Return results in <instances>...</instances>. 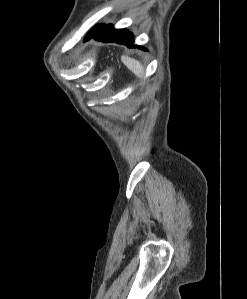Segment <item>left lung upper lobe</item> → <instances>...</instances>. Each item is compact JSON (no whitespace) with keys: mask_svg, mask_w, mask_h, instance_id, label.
Instances as JSON below:
<instances>
[{"mask_svg":"<svg viewBox=\"0 0 247 299\" xmlns=\"http://www.w3.org/2000/svg\"><path fill=\"white\" fill-rule=\"evenodd\" d=\"M98 26H99V25L95 26L92 30L96 29ZM92 30H91V31H92Z\"/></svg>","mask_w":247,"mask_h":299,"instance_id":"5c2ea615","label":"left lung upper lobe"}]
</instances>
